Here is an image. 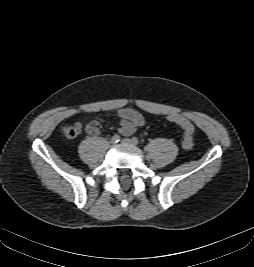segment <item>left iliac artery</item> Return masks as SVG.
Here are the masks:
<instances>
[{"instance_id": "1", "label": "left iliac artery", "mask_w": 254, "mask_h": 267, "mask_svg": "<svg viewBox=\"0 0 254 267\" xmlns=\"http://www.w3.org/2000/svg\"><path fill=\"white\" fill-rule=\"evenodd\" d=\"M132 141H133L134 144H138V143H139V140H138V138H136V137H133V138H132Z\"/></svg>"}]
</instances>
